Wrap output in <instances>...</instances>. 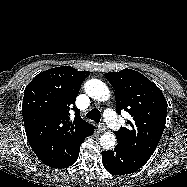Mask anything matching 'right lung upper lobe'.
<instances>
[{"instance_id": "1", "label": "right lung upper lobe", "mask_w": 187, "mask_h": 187, "mask_svg": "<svg viewBox=\"0 0 187 187\" xmlns=\"http://www.w3.org/2000/svg\"><path fill=\"white\" fill-rule=\"evenodd\" d=\"M88 71L61 66L39 73L25 88L22 114L29 144L51 166L66 160L73 145L94 131L80 117L75 100ZM70 109L75 111L70 121Z\"/></svg>"}]
</instances>
